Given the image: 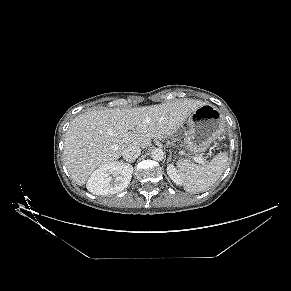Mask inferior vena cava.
<instances>
[{
	"instance_id": "obj_1",
	"label": "inferior vena cava",
	"mask_w": 291,
	"mask_h": 291,
	"mask_svg": "<svg viewBox=\"0 0 291 291\" xmlns=\"http://www.w3.org/2000/svg\"><path fill=\"white\" fill-rule=\"evenodd\" d=\"M140 154L141 149L135 145H127L122 149V156L128 162L136 160Z\"/></svg>"
}]
</instances>
